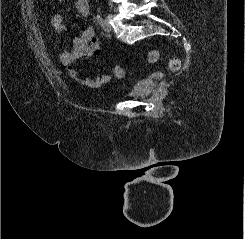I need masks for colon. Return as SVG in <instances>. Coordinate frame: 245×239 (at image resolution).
<instances>
[{"mask_svg":"<svg viewBox=\"0 0 245 239\" xmlns=\"http://www.w3.org/2000/svg\"><path fill=\"white\" fill-rule=\"evenodd\" d=\"M161 57V53L158 50H153L148 53L147 61L149 64L156 63ZM169 67L171 70L176 71L180 67V62L177 58H172L169 61ZM114 73L117 77H124L125 76V69L121 65L115 66Z\"/></svg>","mask_w":245,"mask_h":239,"instance_id":"1","label":"colon"}]
</instances>
